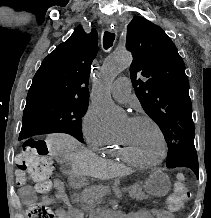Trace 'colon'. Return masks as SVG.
<instances>
[{
  "mask_svg": "<svg viewBox=\"0 0 211 218\" xmlns=\"http://www.w3.org/2000/svg\"><path fill=\"white\" fill-rule=\"evenodd\" d=\"M15 165L20 183L26 180L33 182L39 193H47L51 190L55 167L44 140L28 138L24 142L22 151L16 156ZM188 198L189 191L185 184V177L183 174H178L175 193L168 199L167 206L171 210H178ZM27 213L28 218H55L51 207L42 202L30 204Z\"/></svg>",
  "mask_w": 211,
  "mask_h": 218,
  "instance_id": "obj_1",
  "label": "colon"
}]
</instances>
